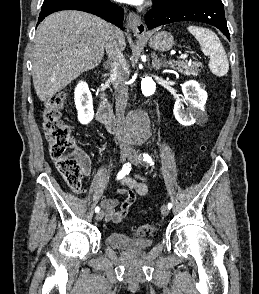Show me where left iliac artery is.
<instances>
[{"label": "left iliac artery", "mask_w": 259, "mask_h": 294, "mask_svg": "<svg viewBox=\"0 0 259 294\" xmlns=\"http://www.w3.org/2000/svg\"><path fill=\"white\" fill-rule=\"evenodd\" d=\"M139 160H140L141 162H147V163H149L150 165H153V164H154V162L152 161L151 156H149V155L146 154V153H144L143 156H140V157H139ZM167 207H168L169 209H171V207H172V203H168V204H167Z\"/></svg>", "instance_id": "44dca946"}]
</instances>
